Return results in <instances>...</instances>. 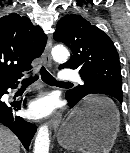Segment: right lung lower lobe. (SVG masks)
<instances>
[{"label":"right lung lower lobe","mask_w":130,"mask_h":153,"mask_svg":"<svg viewBox=\"0 0 130 153\" xmlns=\"http://www.w3.org/2000/svg\"><path fill=\"white\" fill-rule=\"evenodd\" d=\"M18 83L19 82L0 86V123L10 128L20 139L26 150H28L30 142L37 129L36 125L25 121L19 116H16L15 111L20 109L21 101L11 103L1 101L2 95L8 93L7 89L16 88Z\"/></svg>","instance_id":"1"}]
</instances>
